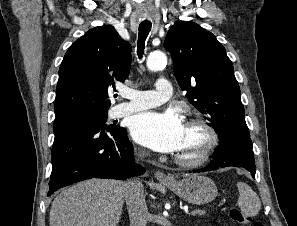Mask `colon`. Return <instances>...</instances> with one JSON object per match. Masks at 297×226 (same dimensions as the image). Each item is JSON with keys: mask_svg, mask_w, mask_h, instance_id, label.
<instances>
[{"mask_svg": "<svg viewBox=\"0 0 297 226\" xmlns=\"http://www.w3.org/2000/svg\"><path fill=\"white\" fill-rule=\"evenodd\" d=\"M229 216L233 221L241 226H262L258 222L254 223L251 217L234 207L229 210Z\"/></svg>", "mask_w": 297, "mask_h": 226, "instance_id": "colon-1", "label": "colon"}]
</instances>
